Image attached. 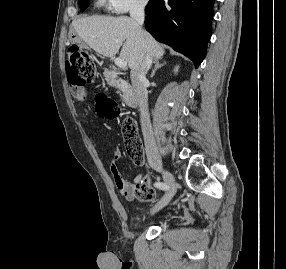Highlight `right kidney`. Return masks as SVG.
I'll return each mask as SVG.
<instances>
[{"label": "right kidney", "mask_w": 286, "mask_h": 269, "mask_svg": "<svg viewBox=\"0 0 286 269\" xmlns=\"http://www.w3.org/2000/svg\"><path fill=\"white\" fill-rule=\"evenodd\" d=\"M178 71V66L175 68V72H177Z\"/></svg>", "instance_id": "ca27d5eb"}]
</instances>
